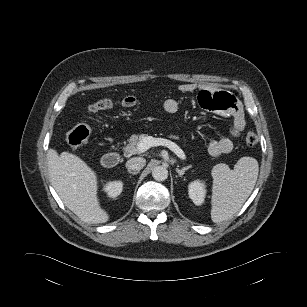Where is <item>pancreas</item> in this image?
Instances as JSON below:
<instances>
[{
  "label": "pancreas",
  "mask_w": 307,
  "mask_h": 307,
  "mask_svg": "<svg viewBox=\"0 0 307 307\" xmlns=\"http://www.w3.org/2000/svg\"><path fill=\"white\" fill-rule=\"evenodd\" d=\"M144 136H145L144 134H137V135H132L129 138L128 144L124 148L125 157H130L131 155L140 153V151L138 150V144ZM170 138L176 139V140L179 139L177 135H171Z\"/></svg>",
  "instance_id": "obj_1"
}]
</instances>
